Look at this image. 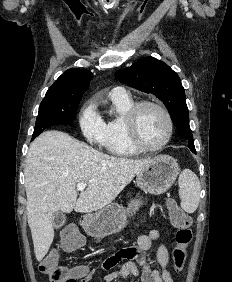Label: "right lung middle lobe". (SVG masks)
<instances>
[{"label":"right lung middle lobe","instance_id":"obj_1","mask_svg":"<svg viewBox=\"0 0 232 282\" xmlns=\"http://www.w3.org/2000/svg\"><path fill=\"white\" fill-rule=\"evenodd\" d=\"M81 97L82 95L64 98H44L40 104L32 140L50 126H73V120L76 117Z\"/></svg>","mask_w":232,"mask_h":282}]
</instances>
